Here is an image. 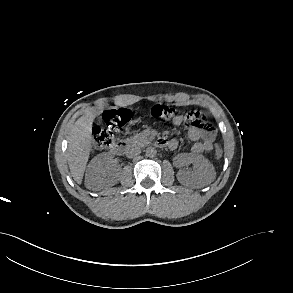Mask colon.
I'll return each mask as SVG.
<instances>
[{
	"label": "colon",
	"mask_w": 293,
	"mask_h": 293,
	"mask_svg": "<svg viewBox=\"0 0 293 293\" xmlns=\"http://www.w3.org/2000/svg\"><path fill=\"white\" fill-rule=\"evenodd\" d=\"M177 110L173 106L155 105L150 110V116L159 123L172 118ZM206 117L204 113H200ZM197 113L190 112L189 117L196 116ZM129 113L126 109H113L108 110L103 116V125H98L93 128V149L104 150L110 148L116 138V134L120 131L121 127L128 120ZM223 150L221 146L216 145L214 155L218 159L222 156Z\"/></svg>",
	"instance_id": "1"
}]
</instances>
